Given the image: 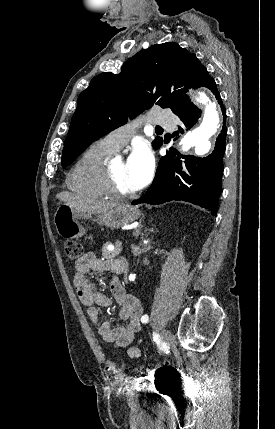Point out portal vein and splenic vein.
Wrapping results in <instances>:
<instances>
[{
	"instance_id": "18ae733b",
	"label": "portal vein and splenic vein",
	"mask_w": 275,
	"mask_h": 429,
	"mask_svg": "<svg viewBox=\"0 0 275 429\" xmlns=\"http://www.w3.org/2000/svg\"><path fill=\"white\" fill-rule=\"evenodd\" d=\"M116 246H117V247H121V246H122V242H121V241H118V242L116 243ZM108 249H109V250H113V249H114V246H109V247H108Z\"/></svg>"
}]
</instances>
